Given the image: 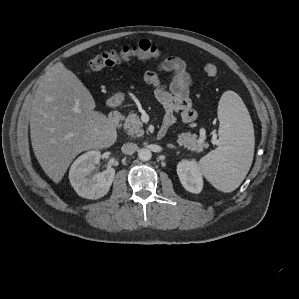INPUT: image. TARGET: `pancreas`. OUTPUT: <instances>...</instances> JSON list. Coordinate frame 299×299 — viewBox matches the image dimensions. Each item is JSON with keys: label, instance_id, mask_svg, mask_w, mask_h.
I'll return each instance as SVG.
<instances>
[{"label": "pancreas", "instance_id": "cf45deb5", "mask_svg": "<svg viewBox=\"0 0 299 299\" xmlns=\"http://www.w3.org/2000/svg\"><path fill=\"white\" fill-rule=\"evenodd\" d=\"M143 123L136 113L129 114L124 122V129L131 137H140L144 134ZM177 142L180 146H184L188 150L193 152H201L208 147V143L205 142V136L197 139L196 134L190 132L179 133Z\"/></svg>", "mask_w": 299, "mask_h": 299}]
</instances>
